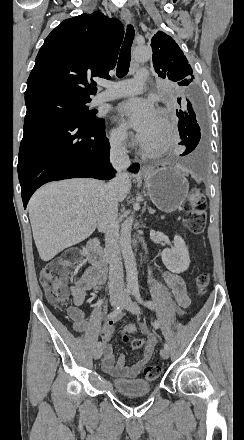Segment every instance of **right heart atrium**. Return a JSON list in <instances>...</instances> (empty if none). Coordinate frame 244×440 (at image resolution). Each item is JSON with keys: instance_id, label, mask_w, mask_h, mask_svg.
I'll use <instances>...</instances> for the list:
<instances>
[{"instance_id": "right-heart-atrium-1", "label": "right heart atrium", "mask_w": 244, "mask_h": 440, "mask_svg": "<svg viewBox=\"0 0 244 440\" xmlns=\"http://www.w3.org/2000/svg\"><path fill=\"white\" fill-rule=\"evenodd\" d=\"M132 134L122 125L114 127L110 132V143L114 148H121L128 145ZM146 137H137V140L145 139Z\"/></svg>"}]
</instances>
